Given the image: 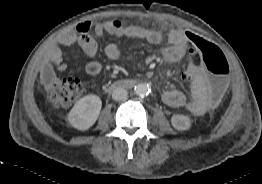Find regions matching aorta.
Listing matches in <instances>:
<instances>
[{"label": "aorta", "mask_w": 262, "mask_h": 184, "mask_svg": "<svg viewBox=\"0 0 262 184\" xmlns=\"http://www.w3.org/2000/svg\"><path fill=\"white\" fill-rule=\"evenodd\" d=\"M134 92L138 96H146V95L149 94L150 88H149V86L147 84L140 83V84L135 86Z\"/></svg>", "instance_id": "1"}]
</instances>
